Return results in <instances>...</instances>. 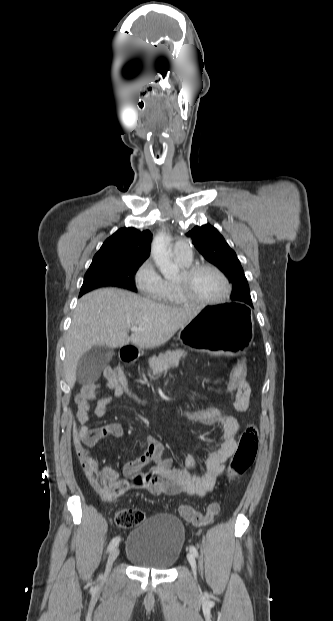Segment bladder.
I'll list each match as a JSON object with an SVG mask.
<instances>
[{
  "mask_svg": "<svg viewBox=\"0 0 333 621\" xmlns=\"http://www.w3.org/2000/svg\"><path fill=\"white\" fill-rule=\"evenodd\" d=\"M185 543L184 525L170 514H157L134 527L126 541V557L137 567L167 571Z\"/></svg>",
  "mask_w": 333,
  "mask_h": 621,
  "instance_id": "bladder-1",
  "label": "bladder"
}]
</instances>
